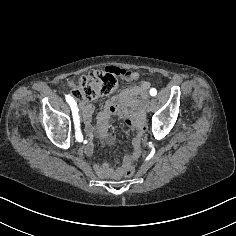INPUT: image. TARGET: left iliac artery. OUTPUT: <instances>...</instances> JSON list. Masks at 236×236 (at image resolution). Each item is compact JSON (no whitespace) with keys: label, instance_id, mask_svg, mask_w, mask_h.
Wrapping results in <instances>:
<instances>
[{"label":"left iliac artery","instance_id":"obj_1","mask_svg":"<svg viewBox=\"0 0 236 236\" xmlns=\"http://www.w3.org/2000/svg\"><path fill=\"white\" fill-rule=\"evenodd\" d=\"M157 94V90L155 88L150 89V95L155 96Z\"/></svg>","mask_w":236,"mask_h":236}]
</instances>
